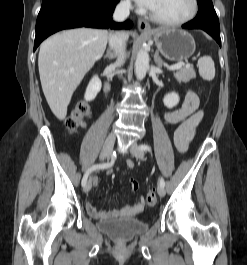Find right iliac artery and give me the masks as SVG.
<instances>
[{"instance_id": "right-iliac-artery-1", "label": "right iliac artery", "mask_w": 247, "mask_h": 265, "mask_svg": "<svg viewBox=\"0 0 247 265\" xmlns=\"http://www.w3.org/2000/svg\"><path fill=\"white\" fill-rule=\"evenodd\" d=\"M114 155L115 153L112 154V159H111V162H107V163H104V164H95L93 165L92 167H90L86 173L84 174L83 178H82V186L84 187L87 183V179H88V176L91 172L95 171V170H98V169H105V168H109L113 165L114 163Z\"/></svg>"}]
</instances>
